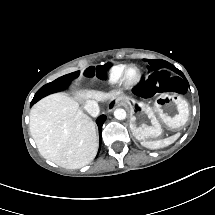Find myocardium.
Segmentation results:
<instances>
[{
	"instance_id": "f54148a6",
	"label": "myocardium",
	"mask_w": 215,
	"mask_h": 215,
	"mask_svg": "<svg viewBox=\"0 0 215 215\" xmlns=\"http://www.w3.org/2000/svg\"><path fill=\"white\" fill-rule=\"evenodd\" d=\"M139 80L140 72L138 68L133 64H129L123 66V70L119 74L116 82L121 89H131L139 82Z\"/></svg>"
}]
</instances>
